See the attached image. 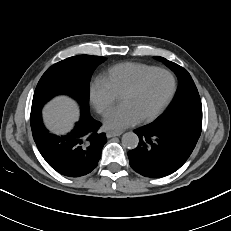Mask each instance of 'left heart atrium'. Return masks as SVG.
Instances as JSON below:
<instances>
[{
	"label": "left heart atrium",
	"mask_w": 231,
	"mask_h": 231,
	"mask_svg": "<svg viewBox=\"0 0 231 231\" xmlns=\"http://www.w3.org/2000/svg\"><path fill=\"white\" fill-rule=\"evenodd\" d=\"M138 116L133 109L126 104L115 108L109 112L104 119V126L110 130H122L136 124Z\"/></svg>",
	"instance_id": "left-heart-atrium-1"
}]
</instances>
